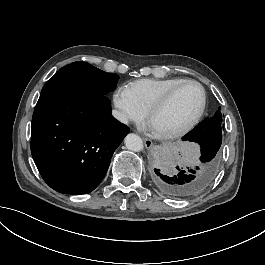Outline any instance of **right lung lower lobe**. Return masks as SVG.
<instances>
[{
    "instance_id": "98d812e1",
    "label": "right lung lower lobe",
    "mask_w": 265,
    "mask_h": 265,
    "mask_svg": "<svg viewBox=\"0 0 265 265\" xmlns=\"http://www.w3.org/2000/svg\"><path fill=\"white\" fill-rule=\"evenodd\" d=\"M128 132L111 116L105 95L42 92L32 117L31 153L51 188L86 194L102 181Z\"/></svg>"
}]
</instances>
